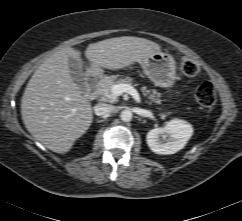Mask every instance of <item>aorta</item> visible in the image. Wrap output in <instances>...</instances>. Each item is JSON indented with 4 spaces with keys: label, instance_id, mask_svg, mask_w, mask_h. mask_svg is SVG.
<instances>
[{
    "label": "aorta",
    "instance_id": "762f6f07",
    "mask_svg": "<svg viewBox=\"0 0 242 221\" xmlns=\"http://www.w3.org/2000/svg\"><path fill=\"white\" fill-rule=\"evenodd\" d=\"M132 112L130 110H123L120 114V118L124 122H129L132 119Z\"/></svg>",
    "mask_w": 242,
    "mask_h": 221
}]
</instances>
